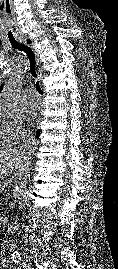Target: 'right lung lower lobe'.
Wrapping results in <instances>:
<instances>
[{
  "mask_svg": "<svg viewBox=\"0 0 118 269\" xmlns=\"http://www.w3.org/2000/svg\"><path fill=\"white\" fill-rule=\"evenodd\" d=\"M39 137V131H37V138Z\"/></svg>",
  "mask_w": 118,
  "mask_h": 269,
  "instance_id": "obj_1",
  "label": "right lung lower lobe"
}]
</instances>
